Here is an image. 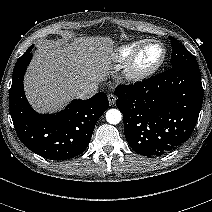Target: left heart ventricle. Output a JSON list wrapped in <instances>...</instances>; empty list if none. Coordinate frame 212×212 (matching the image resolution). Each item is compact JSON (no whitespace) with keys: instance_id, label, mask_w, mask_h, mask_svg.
I'll use <instances>...</instances> for the list:
<instances>
[{"instance_id":"b2bd125f","label":"left heart ventricle","mask_w":212,"mask_h":212,"mask_svg":"<svg viewBox=\"0 0 212 212\" xmlns=\"http://www.w3.org/2000/svg\"><path fill=\"white\" fill-rule=\"evenodd\" d=\"M160 56L161 48L158 45H151L141 53L138 63L141 67H146L156 62Z\"/></svg>"}]
</instances>
